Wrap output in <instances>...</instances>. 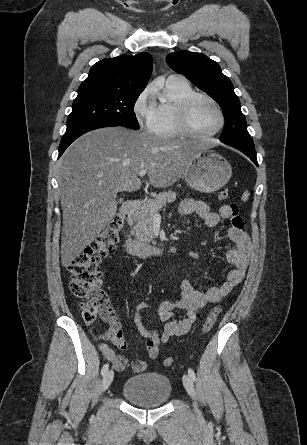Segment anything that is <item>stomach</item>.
<instances>
[{
	"instance_id": "0dacf381",
	"label": "stomach",
	"mask_w": 307,
	"mask_h": 445,
	"mask_svg": "<svg viewBox=\"0 0 307 445\" xmlns=\"http://www.w3.org/2000/svg\"><path fill=\"white\" fill-rule=\"evenodd\" d=\"M230 162L210 148H201L184 170V178L194 190L216 192L230 180Z\"/></svg>"
}]
</instances>
